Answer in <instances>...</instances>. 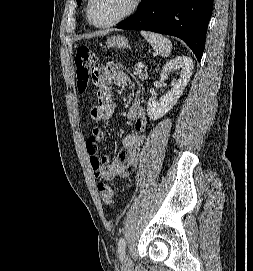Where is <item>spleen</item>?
Returning a JSON list of instances; mask_svg holds the SVG:
<instances>
[{
  "mask_svg": "<svg viewBox=\"0 0 253 271\" xmlns=\"http://www.w3.org/2000/svg\"><path fill=\"white\" fill-rule=\"evenodd\" d=\"M140 33L162 57H168L170 55L172 43L168 38L150 31H141Z\"/></svg>",
  "mask_w": 253,
  "mask_h": 271,
  "instance_id": "1",
  "label": "spleen"
}]
</instances>
